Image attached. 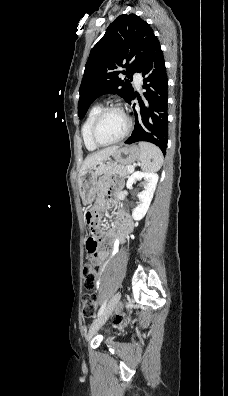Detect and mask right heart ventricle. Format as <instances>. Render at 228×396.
Segmentation results:
<instances>
[{
	"mask_svg": "<svg viewBox=\"0 0 228 396\" xmlns=\"http://www.w3.org/2000/svg\"><path fill=\"white\" fill-rule=\"evenodd\" d=\"M102 108L103 107L101 104H99V103L94 104L88 111V114H87V116L84 120V123L82 125L81 133H82L83 142H84L86 148L90 151H94V150L98 149V146L95 145L93 143V141L91 140L90 130H91V126H92V123H93L96 115L99 113V111Z\"/></svg>",
	"mask_w": 228,
	"mask_h": 396,
	"instance_id": "right-heart-ventricle-1",
	"label": "right heart ventricle"
}]
</instances>
